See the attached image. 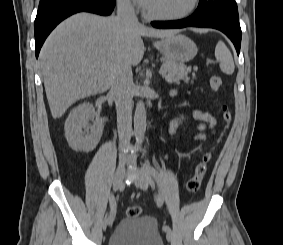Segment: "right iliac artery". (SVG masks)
Here are the masks:
<instances>
[{"label": "right iliac artery", "instance_id": "right-iliac-artery-1", "mask_svg": "<svg viewBox=\"0 0 283 245\" xmlns=\"http://www.w3.org/2000/svg\"><path fill=\"white\" fill-rule=\"evenodd\" d=\"M109 203H110V214L109 217L112 219V222L115 218V214H116V199L114 194H111L109 197Z\"/></svg>", "mask_w": 283, "mask_h": 245}]
</instances>
